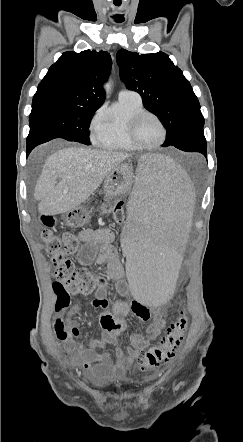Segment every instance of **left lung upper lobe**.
<instances>
[{
    "label": "left lung upper lobe",
    "mask_w": 243,
    "mask_h": 442,
    "mask_svg": "<svg viewBox=\"0 0 243 442\" xmlns=\"http://www.w3.org/2000/svg\"><path fill=\"white\" fill-rule=\"evenodd\" d=\"M120 76L138 92L144 107L158 116L167 134L163 147L172 146L192 130L204 126L200 104L182 71L163 52H117Z\"/></svg>",
    "instance_id": "left-lung-upper-lobe-1"
}]
</instances>
